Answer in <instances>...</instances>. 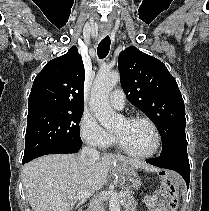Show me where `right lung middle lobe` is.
I'll return each mask as SVG.
<instances>
[{
  "instance_id": "right-lung-middle-lobe-1",
  "label": "right lung middle lobe",
  "mask_w": 209,
  "mask_h": 211,
  "mask_svg": "<svg viewBox=\"0 0 209 211\" xmlns=\"http://www.w3.org/2000/svg\"><path fill=\"white\" fill-rule=\"evenodd\" d=\"M82 111H39L27 116L23 161L58 146L81 147L79 123Z\"/></svg>"
}]
</instances>
